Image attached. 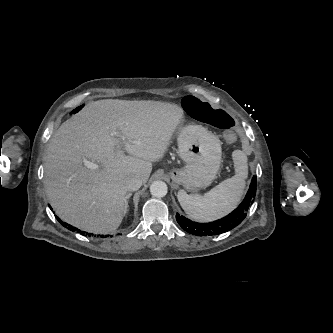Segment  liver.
I'll list each match as a JSON object with an SVG mask.
<instances>
[{"label": "liver", "mask_w": 333, "mask_h": 333, "mask_svg": "<svg viewBox=\"0 0 333 333\" xmlns=\"http://www.w3.org/2000/svg\"><path fill=\"white\" fill-rule=\"evenodd\" d=\"M183 116L175 104L104 99L64 122L44 163L46 194L59 217L87 232H114L125 215V180L147 182ZM84 158L99 168L86 167Z\"/></svg>", "instance_id": "6515ba94"}]
</instances>
